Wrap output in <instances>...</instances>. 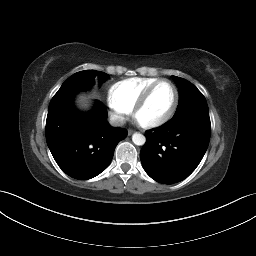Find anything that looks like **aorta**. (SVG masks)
Returning <instances> with one entry per match:
<instances>
[{
    "instance_id": "aorta-1",
    "label": "aorta",
    "mask_w": 256,
    "mask_h": 256,
    "mask_svg": "<svg viewBox=\"0 0 256 256\" xmlns=\"http://www.w3.org/2000/svg\"><path fill=\"white\" fill-rule=\"evenodd\" d=\"M132 141L135 145L141 146L145 144L146 138L140 133H134L132 135Z\"/></svg>"
}]
</instances>
